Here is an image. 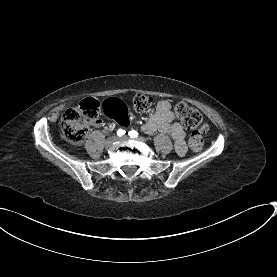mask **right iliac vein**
Returning <instances> with one entry per match:
<instances>
[{"mask_svg": "<svg viewBox=\"0 0 277 277\" xmlns=\"http://www.w3.org/2000/svg\"><path fill=\"white\" fill-rule=\"evenodd\" d=\"M117 140L116 136H111L105 141L106 146H111Z\"/></svg>", "mask_w": 277, "mask_h": 277, "instance_id": "obj_1", "label": "right iliac vein"}]
</instances>
